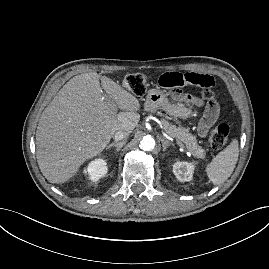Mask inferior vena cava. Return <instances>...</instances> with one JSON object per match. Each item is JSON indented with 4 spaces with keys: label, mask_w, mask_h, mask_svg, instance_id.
<instances>
[{
    "label": "inferior vena cava",
    "mask_w": 269,
    "mask_h": 269,
    "mask_svg": "<svg viewBox=\"0 0 269 269\" xmlns=\"http://www.w3.org/2000/svg\"><path fill=\"white\" fill-rule=\"evenodd\" d=\"M128 136H129V132L124 131V130H119L115 133L114 139L115 141L126 142V139L128 138Z\"/></svg>",
    "instance_id": "inferior-vena-cava-1"
}]
</instances>
